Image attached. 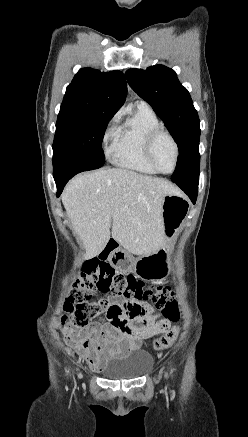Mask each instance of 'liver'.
I'll use <instances>...</instances> for the list:
<instances>
[{
	"label": "liver",
	"instance_id": "obj_1",
	"mask_svg": "<svg viewBox=\"0 0 248 437\" xmlns=\"http://www.w3.org/2000/svg\"><path fill=\"white\" fill-rule=\"evenodd\" d=\"M178 194L168 181L112 168L80 174L61 196L85 257L97 256L111 235L129 253L150 255L164 245L163 199Z\"/></svg>",
	"mask_w": 248,
	"mask_h": 437
}]
</instances>
